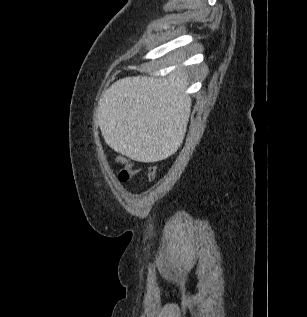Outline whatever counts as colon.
<instances>
[{
  "label": "colon",
  "mask_w": 307,
  "mask_h": 317,
  "mask_svg": "<svg viewBox=\"0 0 307 317\" xmlns=\"http://www.w3.org/2000/svg\"><path fill=\"white\" fill-rule=\"evenodd\" d=\"M115 162L122 165V169L119 172L118 178L121 182H128L135 174L136 170L133 168L131 161L124 156H117ZM147 180L153 182L157 176V168L155 165H149L146 167Z\"/></svg>",
  "instance_id": "5ec220e1"
}]
</instances>
